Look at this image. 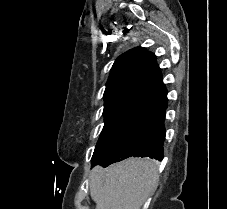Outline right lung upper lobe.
Returning a JSON list of instances; mask_svg holds the SVG:
<instances>
[{"label": "right lung upper lobe", "mask_w": 227, "mask_h": 209, "mask_svg": "<svg viewBox=\"0 0 227 209\" xmlns=\"http://www.w3.org/2000/svg\"><path fill=\"white\" fill-rule=\"evenodd\" d=\"M166 98L161 70L152 52L137 47L116 59L104 92V111L121 99L154 108Z\"/></svg>", "instance_id": "1"}]
</instances>
